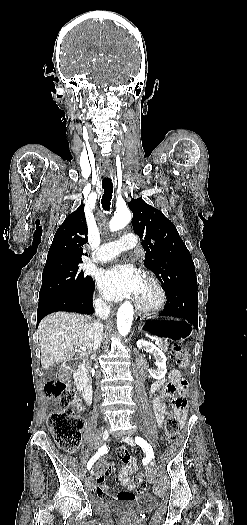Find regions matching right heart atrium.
I'll list each match as a JSON object with an SVG mask.
<instances>
[{
  "label": "right heart atrium",
  "instance_id": "right-heart-atrium-1",
  "mask_svg": "<svg viewBox=\"0 0 247 525\" xmlns=\"http://www.w3.org/2000/svg\"><path fill=\"white\" fill-rule=\"evenodd\" d=\"M106 300H107V297L104 294H100L95 297V303L97 305H101V306L105 305Z\"/></svg>",
  "mask_w": 247,
  "mask_h": 525
}]
</instances>
